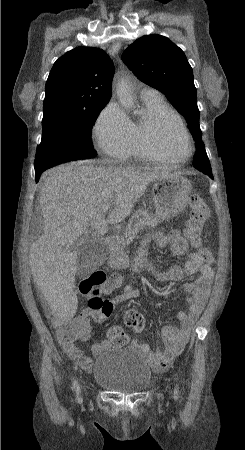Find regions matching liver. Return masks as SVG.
I'll return each mask as SVG.
<instances>
[{
	"mask_svg": "<svg viewBox=\"0 0 245 450\" xmlns=\"http://www.w3.org/2000/svg\"><path fill=\"white\" fill-rule=\"evenodd\" d=\"M180 175L160 168H114L63 164L50 169L40 192L44 234L32 244L29 263L34 281L51 310L62 319L77 309L75 274L77 255L73 243L89 228L101 237L107 223H120L150 182ZM111 206L107 217L103 206Z\"/></svg>",
	"mask_w": 245,
	"mask_h": 450,
	"instance_id": "liver-1",
	"label": "liver"
}]
</instances>
